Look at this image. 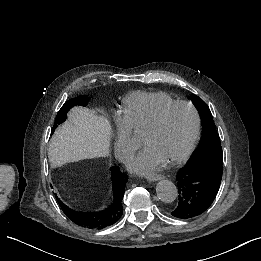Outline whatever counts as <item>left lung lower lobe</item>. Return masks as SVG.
Listing matches in <instances>:
<instances>
[{
	"label": "left lung lower lobe",
	"mask_w": 261,
	"mask_h": 261,
	"mask_svg": "<svg viewBox=\"0 0 261 261\" xmlns=\"http://www.w3.org/2000/svg\"><path fill=\"white\" fill-rule=\"evenodd\" d=\"M221 161H188L177 172L178 205L171 210L175 218L188 219L204 213L214 201L222 178Z\"/></svg>",
	"instance_id": "1"
}]
</instances>
